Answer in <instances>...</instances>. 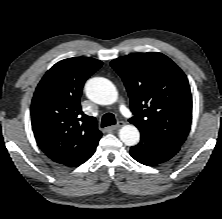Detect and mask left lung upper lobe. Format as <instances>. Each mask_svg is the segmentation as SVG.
Returning a JSON list of instances; mask_svg holds the SVG:
<instances>
[{
    "label": "left lung upper lobe",
    "instance_id": "obj_1",
    "mask_svg": "<svg viewBox=\"0 0 222 219\" xmlns=\"http://www.w3.org/2000/svg\"><path fill=\"white\" fill-rule=\"evenodd\" d=\"M111 66L130 97V123L140 132L182 145L192 120V97L183 71L157 52L132 53L112 60Z\"/></svg>",
    "mask_w": 222,
    "mask_h": 219
}]
</instances>
